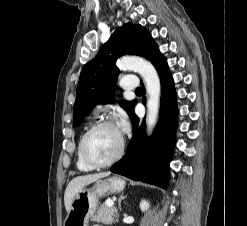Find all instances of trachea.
<instances>
[{"label": "trachea", "instance_id": "3493384b", "mask_svg": "<svg viewBox=\"0 0 247 226\" xmlns=\"http://www.w3.org/2000/svg\"><path fill=\"white\" fill-rule=\"evenodd\" d=\"M135 92H141V87L136 88Z\"/></svg>", "mask_w": 247, "mask_h": 226}]
</instances>
